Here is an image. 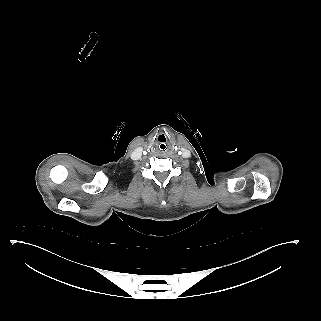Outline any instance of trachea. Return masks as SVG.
<instances>
[{"mask_svg":"<svg viewBox=\"0 0 321 321\" xmlns=\"http://www.w3.org/2000/svg\"><path fill=\"white\" fill-rule=\"evenodd\" d=\"M157 150L159 153L164 154L168 151V146L164 143L158 145Z\"/></svg>","mask_w":321,"mask_h":321,"instance_id":"obj_1","label":"trachea"}]
</instances>
